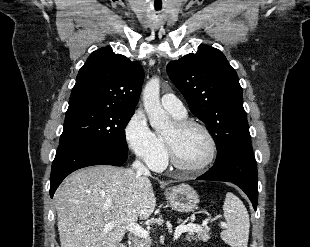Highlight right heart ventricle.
Segmentation results:
<instances>
[{"label": "right heart ventricle", "instance_id": "1", "mask_svg": "<svg viewBox=\"0 0 310 247\" xmlns=\"http://www.w3.org/2000/svg\"><path fill=\"white\" fill-rule=\"evenodd\" d=\"M175 117V116H174ZM175 118H177V119H179V120H182L184 117H175ZM160 139H161V141L163 142V139L161 138V137H159ZM164 143V142H163Z\"/></svg>", "mask_w": 310, "mask_h": 247}]
</instances>
